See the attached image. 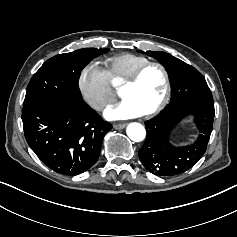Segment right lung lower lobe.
<instances>
[{"instance_id":"obj_1","label":"right lung lower lobe","mask_w":237,"mask_h":237,"mask_svg":"<svg viewBox=\"0 0 237 237\" xmlns=\"http://www.w3.org/2000/svg\"><path fill=\"white\" fill-rule=\"evenodd\" d=\"M27 143L50 169L78 175L92 167L111 124L82 98H62L22 111Z\"/></svg>"}]
</instances>
